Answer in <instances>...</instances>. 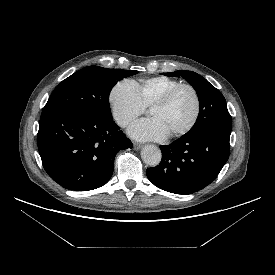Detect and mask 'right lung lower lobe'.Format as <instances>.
Listing matches in <instances>:
<instances>
[{"instance_id": "obj_1", "label": "right lung lower lobe", "mask_w": 275, "mask_h": 275, "mask_svg": "<svg viewBox=\"0 0 275 275\" xmlns=\"http://www.w3.org/2000/svg\"><path fill=\"white\" fill-rule=\"evenodd\" d=\"M37 144L48 175L74 191L106 184L116 154L133 146L113 119L70 108L43 110Z\"/></svg>"}]
</instances>
